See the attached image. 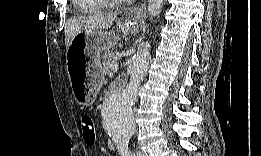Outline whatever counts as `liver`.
Returning <instances> with one entry per match:
<instances>
[{"label": "liver", "instance_id": "liver-1", "mask_svg": "<svg viewBox=\"0 0 261 156\" xmlns=\"http://www.w3.org/2000/svg\"><path fill=\"white\" fill-rule=\"evenodd\" d=\"M116 20L117 15L113 13L80 15L68 19L64 28L66 49L70 46L73 37L79 32L108 30Z\"/></svg>", "mask_w": 261, "mask_h": 156}]
</instances>
